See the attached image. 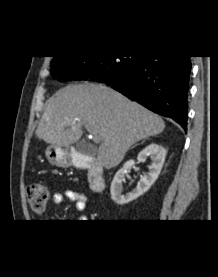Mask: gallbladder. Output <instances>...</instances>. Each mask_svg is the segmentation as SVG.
Returning <instances> with one entry per match:
<instances>
[{"instance_id": "bac80fb5", "label": "gallbladder", "mask_w": 218, "mask_h": 277, "mask_svg": "<svg viewBox=\"0 0 218 277\" xmlns=\"http://www.w3.org/2000/svg\"><path fill=\"white\" fill-rule=\"evenodd\" d=\"M76 151L78 153H81V154H85V155H94L95 154V150L93 148H91L88 143L84 140L82 141H79L77 144H76Z\"/></svg>"}]
</instances>
